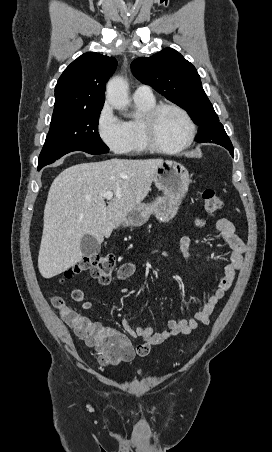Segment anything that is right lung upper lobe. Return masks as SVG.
<instances>
[{
	"label": "right lung upper lobe",
	"mask_w": 272,
	"mask_h": 452,
	"mask_svg": "<svg viewBox=\"0 0 272 452\" xmlns=\"http://www.w3.org/2000/svg\"><path fill=\"white\" fill-rule=\"evenodd\" d=\"M117 61L99 53H84L62 73L55 86L53 115L103 107L105 83Z\"/></svg>",
	"instance_id": "1"
}]
</instances>
